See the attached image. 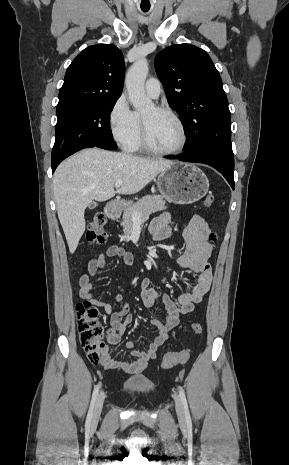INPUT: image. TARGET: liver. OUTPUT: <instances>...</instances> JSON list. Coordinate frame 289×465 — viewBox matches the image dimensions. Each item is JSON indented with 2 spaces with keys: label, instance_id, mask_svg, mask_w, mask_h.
<instances>
[{
  "label": "liver",
  "instance_id": "1",
  "mask_svg": "<svg viewBox=\"0 0 289 465\" xmlns=\"http://www.w3.org/2000/svg\"><path fill=\"white\" fill-rule=\"evenodd\" d=\"M173 163L99 148L82 150L64 160L54 173L53 192L70 253L84 234L85 209L93 200L103 202L116 193L135 194ZM118 180L122 185L115 191Z\"/></svg>",
  "mask_w": 289,
  "mask_h": 465
}]
</instances>
